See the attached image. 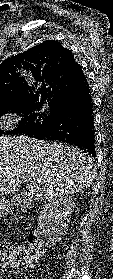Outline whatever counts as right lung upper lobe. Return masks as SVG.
I'll return each mask as SVG.
<instances>
[{
	"mask_svg": "<svg viewBox=\"0 0 113 279\" xmlns=\"http://www.w3.org/2000/svg\"><path fill=\"white\" fill-rule=\"evenodd\" d=\"M30 71L36 80L29 86L17 68ZM87 79L71 50L47 40L0 64V108L35 103L61 106L74 99Z\"/></svg>",
	"mask_w": 113,
	"mask_h": 279,
	"instance_id": "1",
	"label": "right lung upper lobe"
}]
</instances>
